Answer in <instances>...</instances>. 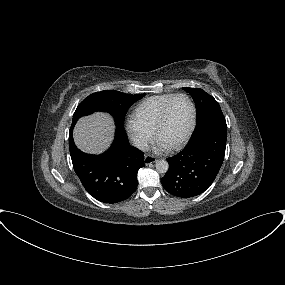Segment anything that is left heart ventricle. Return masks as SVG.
<instances>
[{
    "instance_id": "left-heart-ventricle-1",
    "label": "left heart ventricle",
    "mask_w": 285,
    "mask_h": 285,
    "mask_svg": "<svg viewBox=\"0 0 285 285\" xmlns=\"http://www.w3.org/2000/svg\"><path fill=\"white\" fill-rule=\"evenodd\" d=\"M191 108L185 98H177L170 106L167 119L162 126L158 139L171 146L178 142L188 130Z\"/></svg>"
}]
</instances>
